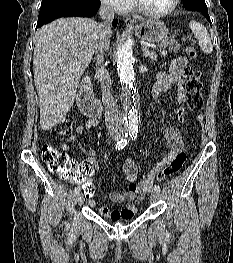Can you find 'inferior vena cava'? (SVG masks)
Masks as SVG:
<instances>
[{
    "mask_svg": "<svg viewBox=\"0 0 233 263\" xmlns=\"http://www.w3.org/2000/svg\"><path fill=\"white\" fill-rule=\"evenodd\" d=\"M100 18L103 20L98 25L99 37L96 45V66L100 78L102 101L105 107V120L109 131L122 128V119L118 115L117 104L111 94L112 83L109 72L103 67V54L109 49V37L111 34L110 22L114 19L113 7L103 2L99 9Z\"/></svg>",
    "mask_w": 233,
    "mask_h": 263,
    "instance_id": "inferior-vena-cava-1",
    "label": "inferior vena cava"
}]
</instances>
